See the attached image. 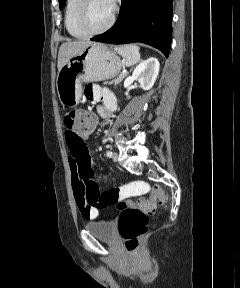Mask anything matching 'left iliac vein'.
I'll list each match as a JSON object with an SVG mask.
<instances>
[{
	"instance_id": "1",
	"label": "left iliac vein",
	"mask_w": 240,
	"mask_h": 288,
	"mask_svg": "<svg viewBox=\"0 0 240 288\" xmlns=\"http://www.w3.org/2000/svg\"><path fill=\"white\" fill-rule=\"evenodd\" d=\"M112 159H113V161L117 162L118 161V153L114 152L112 154Z\"/></svg>"
}]
</instances>
